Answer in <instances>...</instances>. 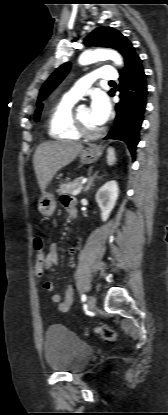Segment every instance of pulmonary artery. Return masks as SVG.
<instances>
[{
    "instance_id": "pulmonary-artery-1",
    "label": "pulmonary artery",
    "mask_w": 168,
    "mask_h": 415,
    "mask_svg": "<svg viewBox=\"0 0 168 415\" xmlns=\"http://www.w3.org/2000/svg\"><path fill=\"white\" fill-rule=\"evenodd\" d=\"M118 73L114 67L106 65L78 80L67 92L66 96L78 100L96 79L115 81Z\"/></svg>"
}]
</instances>
